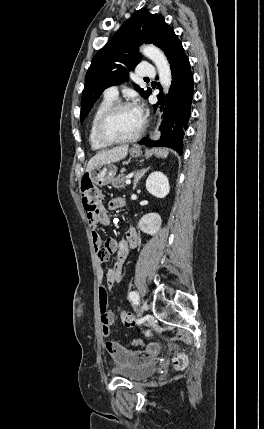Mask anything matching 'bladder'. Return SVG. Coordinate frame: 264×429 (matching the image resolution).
<instances>
[{"instance_id": "bladder-1", "label": "bladder", "mask_w": 264, "mask_h": 429, "mask_svg": "<svg viewBox=\"0 0 264 429\" xmlns=\"http://www.w3.org/2000/svg\"><path fill=\"white\" fill-rule=\"evenodd\" d=\"M156 371V364L154 362H147L140 365L117 368L115 374L130 381H142L155 374Z\"/></svg>"}]
</instances>
